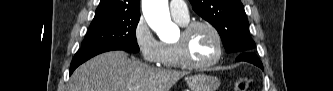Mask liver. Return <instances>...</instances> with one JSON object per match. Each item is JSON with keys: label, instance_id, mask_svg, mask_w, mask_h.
I'll return each mask as SVG.
<instances>
[{"label": "liver", "instance_id": "1", "mask_svg": "<svg viewBox=\"0 0 333 91\" xmlns=\"http://www.w3.org/2000/svg\"><path fill=\"white\" fill-rule=\"evenodd\" d=\"M185 75L130 59L123 51H111L79 66L69 80V91H169Z\"/></svg>", "mask_w": 333, "mask_h": 91}]
</instances>
